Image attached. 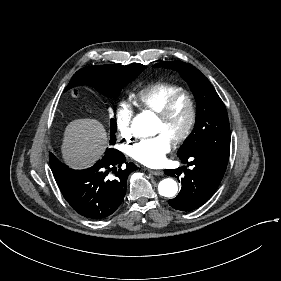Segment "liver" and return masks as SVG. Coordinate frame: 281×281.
<instances>
[{
  "label": "liver",
  "mask_w": 281,
  "mask_h": 281,
  "mask_svg": "<svg viewBox=\"0 0 281 281\" xmlns=\"http://www.w3.org/2000/svg\"><path fill=\"white\" fill-rule=\"evenodd\" d=\"M108 143L104 126L96 119H77L64 132L62 155L73 168L94 164L105 153Z\"/></svg>",
  "instance_id": "6515ba94"
}]
</instances>
